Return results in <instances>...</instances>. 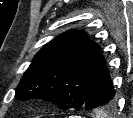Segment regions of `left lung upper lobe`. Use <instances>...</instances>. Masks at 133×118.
Masks as SVG:
<instances>
[{"instance_id": "1", "label": "left lung upper lobe", "mask_w": 133, "mask_h": 118, "mask_svg": "<svg viewBox=\"0 0 133 118\" xmlns=\"http://www.w3.org/2000/svg\"><path fill=\"white\" fill-rule=\"evenodd\" d=\"M105 67L106 60L98 44L90 41L83 31H68L34 56L16 89L15 98H42L63 110L84 108ZM114 102L107 108H112Z\"/></svg>"}]
</instances>
